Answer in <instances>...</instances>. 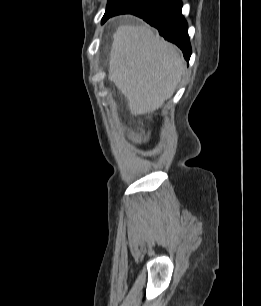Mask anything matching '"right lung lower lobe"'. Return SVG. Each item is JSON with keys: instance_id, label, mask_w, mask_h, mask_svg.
Instances as JSON below:
<instances>
[{"instance_id": "obj_1", "label": "right lung lower lobe", "mask_w": 261, "mask_h": 306, "mask_svg": "<svg viewBox=\"0 0 261 306\" xmlns=\"http://www.w3.org/2000/svg\"><path fill=\"white\" fill-rule=\"evenodd\" d=\"M181 8V0H131L121 8L105 14L102 23L119 14L138 16L157 28L166 40L176 44L182 50L184 58L189 61L192 51L188 26L181 14Z\"/></svg>"}]
</instances>
